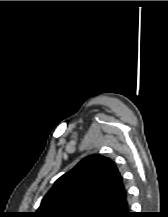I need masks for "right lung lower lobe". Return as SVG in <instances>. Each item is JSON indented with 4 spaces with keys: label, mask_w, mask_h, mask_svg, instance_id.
<instances>
[{
    "label": "right lung lower lobe",
    "mask_w": 168,
    "mask_h": 217,
    "mask_svg": "<svg viewBox=\"0 0 168 217\" xmlns=\"http://www.w3.org/2000/svg\"><path fill=\"white\" fill-rule=\"evenodd\" d=\"M105 217H136V215L129 211L128 203H125L112 213L106 215Z\"/></svg>",
    "instance_id": "98d812e1"
}]
</instances>
